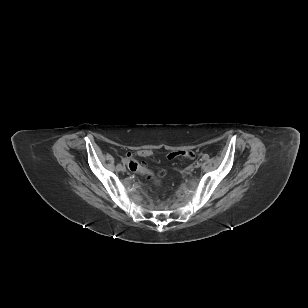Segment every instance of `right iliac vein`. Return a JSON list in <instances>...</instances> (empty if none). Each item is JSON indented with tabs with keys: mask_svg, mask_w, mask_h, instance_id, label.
<instances>
[{
	"mask_svg": "<svg viewBox=\"0 0 308 308\" xmlns=\"http://www.w3.org/2000/svg\"><path fill=\"white\" fill-rule=\"evenodd\" d=\"M117 170L118 171H126V168H125V166H122L121 164H119V165H117Z\"/></svg>",
	"mask_w": 308,
	"mask_h": 308,
	"instance_id": "right-iliac-vein-1",
	"label": "right iliac vein"
}]
</instances>
